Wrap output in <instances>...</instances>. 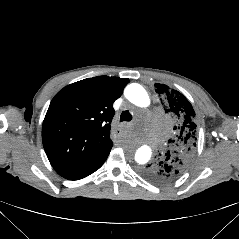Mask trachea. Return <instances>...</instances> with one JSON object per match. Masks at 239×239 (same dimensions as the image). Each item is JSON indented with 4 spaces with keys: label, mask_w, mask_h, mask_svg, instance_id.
<instances>
[{
    "label": "trachea",
    "mask_w": 239,
    "mask_h": 239,
    "mask_svg": "<svg viewBox=\"0 0 239 239\" xmlns=\"http://www.w3.org/2000/svg\"><path fill=\"white\" fill-rule=\"evenodd\" d=\"M132 120V115L129 113L128 110L123 111L120 116V122L123 121H131Z\"/></svg>",
    "instance_id": "3493384b"
}]
</instances>
